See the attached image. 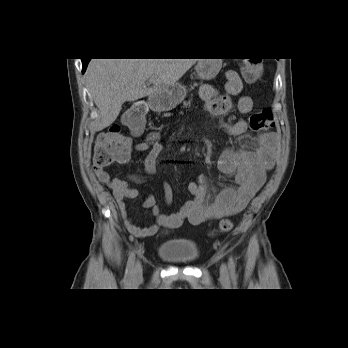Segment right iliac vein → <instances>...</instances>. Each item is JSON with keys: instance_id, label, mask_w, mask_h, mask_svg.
Returning a JSON list of instances; mask_svg holds the SVG:
<instances>
[{"instance_id": "right-iliac-vein-1", "label": "right iliac vein", "mask_w": 348, "mask_h": 348, "mask_svg": "<svg viewBox=\"0 0 348 348\" xmlns=\"http://www.w3.org/2000/svg\"><path fill=\"white\" fill-rule=\"evenodd\" d=\"M141 276H142V265L139 261H137L133 270V278L135 281H138L140 280Z\"/></svg>"}]
</instances>
